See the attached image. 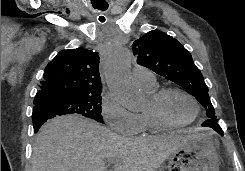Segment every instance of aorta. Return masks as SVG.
Wrapping results in <instances>:
<instances>
[{"mask_svg":"<svg viewBox=\"0 0 245 171\" xmlns=\"http://www.w3.org/2000/svg\"><path fill=\"white\" fill-rule=\"evenodd\" d=\"M130 69L131 55L127 49L121 48L107 62L104 77L110 92L125 108L139 111L144 106V97L133 82Z\"/></svg>","mask_w":245,"mask_h":171,"instance_id":"obj_1","label":"aorta"}]
</instances>
